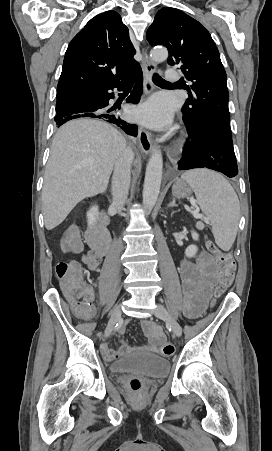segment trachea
<instances>
[{
  "label": "trachea",
  "mask_w": 272,
  "mask_h": 451,
  "mask_svg": "<svg viewBox=\"0 0 272 451\" xmlns=\"http://www.w3.org/2000/svg\"><path fill=\"white\" fill-rule=\"evenodd\" d=\"M153 81L155 84H169L170 82H167L163 78H161L157 73L153 76Z\"/></svg>",
  "instance_id": "obj_1"
}]
</instances>
